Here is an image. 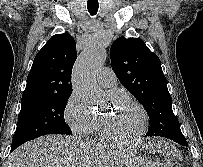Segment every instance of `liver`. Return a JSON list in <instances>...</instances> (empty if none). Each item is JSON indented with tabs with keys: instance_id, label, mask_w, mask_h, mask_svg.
<instances>
[{
	"instance_id": "liver-1",
	"label": "liver",
	"mask_w": 203,
	"mask_h": 167,
	"mask_svg": "<svg viewBox=\"0 0 203 167\" xmlns=\"http://www.w3.org/2000/svg\"><path fill=\"white\" fill-rule=\"evenodd\" d=\"M133 153L76 137L46 135L10 154L6 167H124Z\"/></svg>"
}]
</instances>
